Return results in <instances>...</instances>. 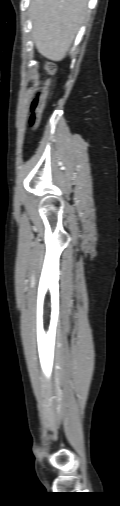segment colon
I'll use <instances>...</instances> for the list:
<instances>
[{
    "label": "colon",
    "mask_w": 120,
    "mask_h": 506,
    "mask_svg": "<svg viewBox=\"0 0 120 506\" xmlns=\"http://www.w3.org/2000/svg\"><path fill=\"white\" fill-rule=\"evenodd\" d=\"M48 73L52 75V69H48ZM53 84V78L47 79L32 103L29 126L33 129H36L40 124L43 110L53 89Z\"/></svg>",
    "instance_id": "1"
}]
</instances>
